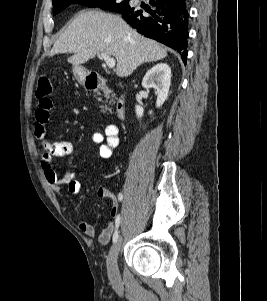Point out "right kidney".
<instances>
[{
    "label": "right kidney",
    "instance_id": "obj_1",
    "mask_svg": "<svg viewBox=\"0 0 267 301\" xmlns=\"http://www.w3.org/2000/svg\"><path fill=\"white\" fill-rule=\"evenodd\" d=\"M171 85V68L160 63L147 71L143 78L142 86L144 88H154L157 94L156 107H161L166 101ZM144 109L140 105H136V115L138 118L143 116ZM152 114V111L149 112Z\"/></svg>",
    "mask_w": 267,
    "mask_h": 301
}]
</instances>
